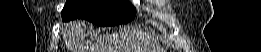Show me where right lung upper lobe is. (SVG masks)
Here are the masks:
<instances>
[{
	"instance_id": "1",
	"label": "right lung upper lobe",
	"mask_w": 261,
	"mask_h": 52,
	"mask_svg": "<svg viewBox=\"0 0 261 52\" xmlns=\"http://www.w3.org/2000/svg\"><path fill=\"white\" fill-rule=\"evenodd\" d=\"M118 1H122V2H127V3H129V0H118Z\"/></svg>"
}]
</instances>
